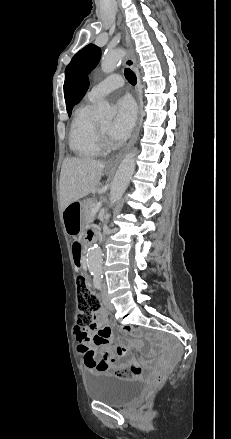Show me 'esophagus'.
<instances>
[{
    "label": "esophagus",
    "mask_w": 231,
    "mask_h": 439,
    "mask_svg": "<svg viewBox=\"0 0 231 439\" xmlns=\"http://www.w3.org/2000/svg\"><path fill=\"white\" fill-rule=\"evenodd\" d=\"M124 43L125 47L127 49V55L124 61L125 66L136 70V63H135V57H134V47L133 43L130 39L129 32L126 28H124ZM136 97L138 101V115H137V121L136 126L134 129V132L132 134V137L125 148H123L118 154H116L114 157L109 159L106 163V167L109 169H116L124 155L133 147L138 133L140 129V122H141V109H142V89H141V79L140 76L137 75V86H136Z\"/></svg>",
    "instance_id": "1"
}]
</instances>
